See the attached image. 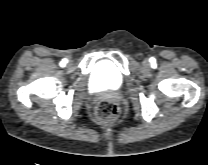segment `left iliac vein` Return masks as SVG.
Returning a JSON list of instances; mask_svg holds the SVG:
<instances>
[{
  "label": "left iliac vein",
  "instance_id": "left-iliac-vein-1",
  "mask_svg": "<svg viewBox=\"0 0 208 165\" xmlns=\"http://www.w3.org/2000/svg\"><path fill=\"white\" fill-rule=\"evenodd\" d=\"M143 65L146 66V67L149 66V61H148L147 59H145V60L143 61Z\"/></svg>",
  "mask_w": 208,
  "mask_h": 165
}]
</instances>
